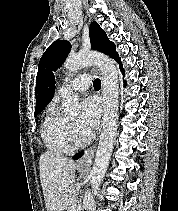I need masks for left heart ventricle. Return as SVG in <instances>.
<instances>
[{
    "label": "left heart ventricle",
    "instance_id": "obj_1",
    "mask_svg": "<svg viewBox=\"0 0 178 211\" xmlns=\"http://www.w3.org/2000/svg\"><path fill=\"white\" fill-rule=\"evenodd\" d=\"M69 121L74 125V127L76 128L77 130V134H78V137L80 139H83L85 138L86 136L80 131V129L78 128V119L76 117L74 118H71L69 119Z\"/></svg>",
    "mask_w": 178,
    "mask_h": 211
}]
</instances>
